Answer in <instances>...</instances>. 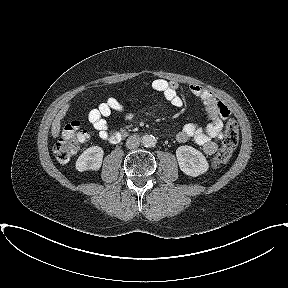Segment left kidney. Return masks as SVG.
Wrapping results in <instances>:
<instances>
[{
  "label": "left kidney",
  "mask_w": 288,
  "mask_h": 288,
  "mask_svg": "<svg viewBox=\"0 0 288 288\" xmlns=\"http://www.w3.org/2000/svg\"><path fill=\"white\" fill-rule=\"evenodd\" d=\"M180 169L189 176L196 177L207 172L209 164L205 156L191 146H180L176 150Z\"/></svg>",
  "instance_id": "1"
}]
</instances>
